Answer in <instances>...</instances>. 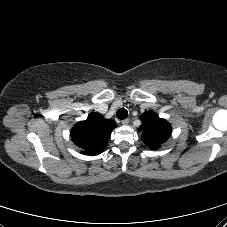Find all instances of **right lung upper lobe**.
Returning a JSON list of instances; mask_svg holds the SVG:
<instances>
[{
  "label": "right lung upper lobe",
  "mask_w": 227,
  "mask_h": 227,
  "mask_svg": "<svg viewBox=\"0 0 227 227\" xmlns=\"http://www.w3.org/2000/svg\"><path fill=\"white\" fill-rule=\"evenodd\" d=\"M116 123L92 112L85 121H80L71 129V137L75 145L85 155H98L107 146L111 131Z\"/></svg>",
  "instance_id": "cb5924a9"
}]
</instances>
